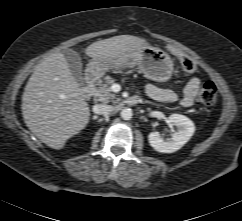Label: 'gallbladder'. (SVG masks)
<instances>
[{
	"mask_svg": "<svg viewBox=\"0 0 242 221\" xmlns=\"http://www.w3.org/2000/svg\"><path fill=\"white\" fill-rule=\"evenodd\" d=\"M63 55L69 65L70 72L74 77L75 81L83 86L84 78L82 73V61L80 55L73 49H64Z\"/></svg>",
	"mask_w": 242,
	"mask_h": 221,
	"instance_id": "1",
	"label": "gallbladder"
}]
</instances>
